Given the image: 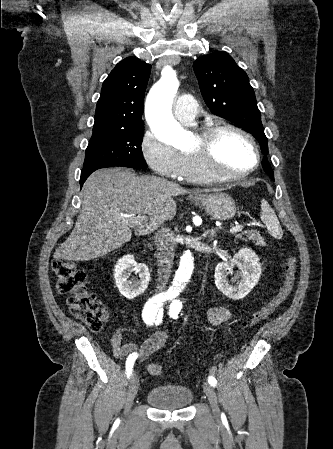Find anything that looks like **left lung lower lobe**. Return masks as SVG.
I'll return each mask as SVG.
<instances>
[{"label": "left lung lower lobe", "instance_id": "obj_1", "mask_svg": "<svg viewBox=\"0 0 333 449\" xmlns=\"http://www.w3.org/2000/svg\"><path fill=\"white\" fill-rule=\"evenodd\" d=\"M262 165H263V168H264L265 171H267V172H271L272 171L271 166H270L267 158H263Z\"/></svg>", "mask_w": 333, "mask_h": 449}]
</instances>
